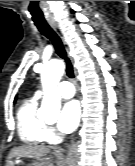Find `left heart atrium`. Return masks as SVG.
<instances>
[{"label":"left heart atrium","instance_id":"39dd6f15","mask_svg":"<svg viewBox=\"0 0 135 166\" xmlns=\"http://www.w3.org/2000/svg\"><path fill=\"white\" fill-rule=\"evenodd\" d=\"M80 119V106L78 101H67L58 118V128L63 133L72 132L78 125Z\"/></svg>","mask_w":135,"mask_h":166}]
</instances>
